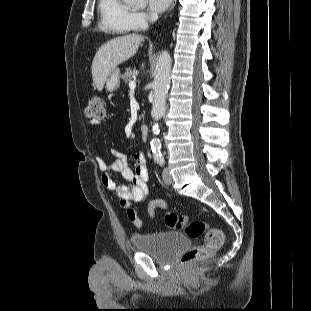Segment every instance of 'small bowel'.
Returning a JSON list of instances; mask_svg holds the SVG:
<instances>
[{
	"instance_id": "obj_1",
	"label": "small bowel",
	"mask_w": 311,
	"mask_h": 311,
	"mask_svg": "<svg viewBox=\"0 0 311 311\" xmlns=\"http://www.w3.org/2000/svg\"><path fill=\"white\" fill-rule=\"evenodd\" d=\"M92 126H99L101 121L91 120ZM113 160L107 161L101 155H97L95 160L99 170L102 172L101 182L110 191L114 192L120 199V206L126 211L128 219L137 228L143 226V222L133 207L135 203H142L150 196L148 185V168L146 158L142 152H136L131 157L126 154L112 150ZM133 166H130L129 161ZM119 173L127 182L126 185L119 184L114 179V174ZM160 206L166 208L163 201L154 202L148 208V215L154 219V209Z\"/></svg>"
}]
</instances>
